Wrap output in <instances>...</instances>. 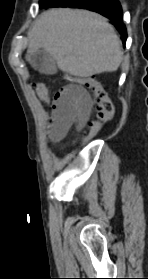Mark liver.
<instances>
[{"label":"liver","instance_id":"1","mask_svg":"<svg viewBox=\"0 0 148 279\" xmlns=\"http://www.w3.org/2000/svg\"><path fill=\"white\" fill-rule=\"evenodd\" d=\"M28 54L50 53L58 68L77 77L114 72L123 52L114 28L96 13L68 8L40 15L28 34Z\"/></svg>","mask_w":148,"mask_h":279}]
</instances>
